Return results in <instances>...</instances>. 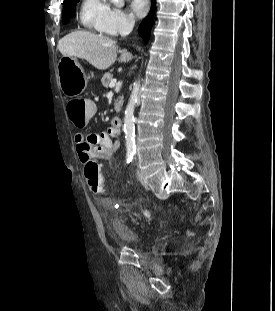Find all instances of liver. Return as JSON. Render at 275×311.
Segmentation results:
<instances>
[{"instance_id": "1", "label": "liver", "mask_w": 275, "mask_h": 311, "mask_svg": "<svg viewBox=\"0 0 275 311\" xmlns=\"http://www.w3.org/2000/svg\"><path fill=\"white\" fill-rule=\"evenodd\" d=\"M63 56L87 60L99 70L109 68L120 55V62H129L133 56L126 49L118 51L116 42L111 38L89 31H75L64 36L58 43Z\"/></svg>"}]
</instances>
